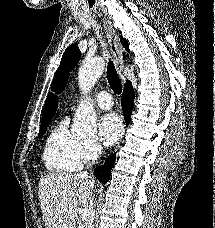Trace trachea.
Masks as SVG:
<instances>
[{
    "mask_svg": "<svg viewBox=\"0 0 215 228\" xmlns=\"http://www.w3.org/2000/svg\"><path fill=\"white\" fill-rule=\"evenodd\" d=\"M106 74H107V80L110 87L112 88L114 93H116L117 95H120V93L122 92V83L117 74V71L115 70L114 63L112 62L111 59H109L108 61Z\"/></svg>",
    "mask_w": 215,
    "mask_h": 228,
    "instance_id": "trachea-1",
    "label": "trachea"
}]
</instances>
